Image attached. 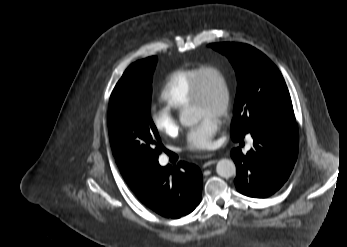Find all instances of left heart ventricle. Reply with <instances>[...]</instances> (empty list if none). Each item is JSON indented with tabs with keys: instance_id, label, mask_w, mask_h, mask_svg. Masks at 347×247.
I'll use <instances>...</instances> for the list:
<instances>
[{
	"instance_id": "obj_1",
	"label": "left heart ventricle",
	"mask_w": 347,
	"mask_h": 247,
	"mask_svg": "<svg viewBox=\"0 0 347 247\" xmlns=\"http://www.w3.org/2000/svg\"><path fill=\"white\" fill-rule=\"evenodd\" d=\"M205 101L199 106H192L191 110L197 119L210 115L217 117L223 100V89L219 78L209 73L204 79Z\"/></svg>"
}]
</instances>
